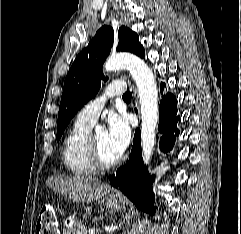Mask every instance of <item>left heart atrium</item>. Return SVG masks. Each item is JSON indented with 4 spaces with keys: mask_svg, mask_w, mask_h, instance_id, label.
<instances>
[{
    "mask_svg": "<svg viewBox=\"0 0 241 234\" xmlns=\"http://www.w3.org/2000/svg\"><path fill=\"white\" fill-rule=\"evenodd\" d=\"M107 134L112 147L122 154L131 139V129L126 117L117 114L109 116Z\"/></svg>",
    "mask_w": 241,
    "mask_h": 234,
    "instance_id": "obj_1",
    "label": "left heart atrium"
}]
</instances>
